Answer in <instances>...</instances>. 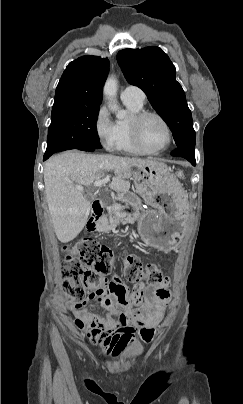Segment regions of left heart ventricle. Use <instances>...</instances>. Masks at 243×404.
<instances>
[{
	"label": "left heart ventricle",
	"instance_id": "left-heart-ventricle-1",
	"mask_svg": "<svg viewBox=\"0 0 243 404\" xmlns=\"http://www.w3.org/2000/svg\"><path fill=\"white\" fill-rule=\"evenodd\" d=\"M139 135L144 144L152 149L163 147L168 140L167 128L156 116H148L141 122Z\"/></svg>",
	"mask_w": 243,
	"mask_h": 404
}]
</instances>
